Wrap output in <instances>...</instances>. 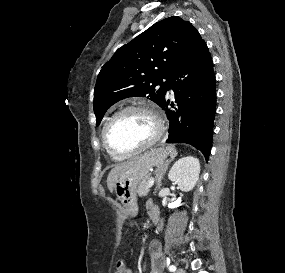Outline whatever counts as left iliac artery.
Instances as JSON below:
<instances>
[{
  "mask_svg": "<svg viewBox=\"0 0 285 273\" xmlns=\"http://www.w3.org/2000/svg\"><path fill=\"white\" fill-rule=\"evenodd\" d=\"M176 270V266L170 265L169 266V271L174 272Z\"/></svg>",
  "mask_w": 285,
  "mask_h": 273,
  "instance_id": "left-iliac-artery-1",
  "label": "left iliac artery"
}]
</instances>
